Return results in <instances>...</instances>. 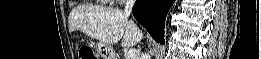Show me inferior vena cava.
Listing matches in <instances>:
<instances>
[{
	"mask_svg": "<svg viewBox=\"0 0 261 59\" xmlns=\"http://www.w3.org/2000/svg\"><path fill=\"white\" fill-rule=\"evenodd\" d=\"M134 3H135V0H127L125 8H124V12L127 16H129L131 14ZM141 59H150V56L148 53H143L141 55Z\"/></svg>",
	"mask_w": 261,
	"mask_h": 59,
	"instance_id": "inferior-vena-cava-1",
	"label": "inferior vena cava"
}]
</instances>
